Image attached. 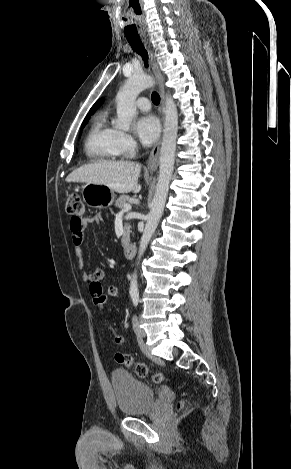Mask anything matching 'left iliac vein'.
<instances>
[{
  "label": "left iliac vein",
  "mask_w": 291,
  "mask_h": 469,
  "mask_svg": "<svg viewBox=\"0 0 291 469\" xmlns=\"http://www.w3.org/2000/svg\"><path fill=\"white\" fill-rule=\"evenodd\" d=\"M133 329H134V332H135L136 336L139 339H143V338L146 337V334H145L144 330L139 325V320H138L136 315L133 317ZM143 351L146 354H149V352H148V350L145 346L143 347Z\"/></svg>",
  "instance_id": "obj_1"
}]
</instances>
